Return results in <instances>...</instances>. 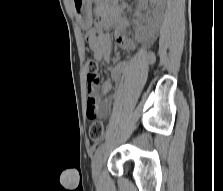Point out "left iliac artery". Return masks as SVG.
Returning a JSON list of instances; mask_svg holds the SVG:
<instances>
[{
	"label": "left iliac artery",
	"mask_w": 223,
	"mask_h": 191,
	"mask_svg": "<svg viewBox=\"0 0 223 191\" xmlns=\"http://www.w3.org/2000/svg\"><path fill=\"white\" fill-rule=\"evenodd\" d=\"M104 148H105V143H102L101 145L98 146V148L95 151V157L96 158L101 156V154L104 151Z\"/></svg>",
	"instance_id": "1"
}]
</instances>
